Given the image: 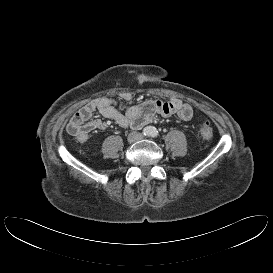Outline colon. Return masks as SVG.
I'll return each instance as SVG.
<instances>
[{"instance_id":"colon-1","label":"colon","mask_w":273,"mask_h":273,"mask_svg":"<svg viewBox=\"0 0 273 273\" xmlns=\"http://www.w3.org/2000/svg\"><path fill=\"white\" fill-rule=\"evenodd\" d=\"M200 132L204 138L210 139L213 136V128L208 122L201 125Z\"/></svg>"}]
</instances>
